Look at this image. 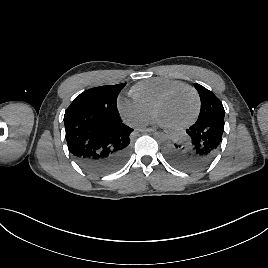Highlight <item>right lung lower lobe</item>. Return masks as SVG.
Returning <instances> with one entry per match:
<instances>
[{
	"label": "right lung lower lobe",
	"instance_id": "obj_1",
	"mask_svg": "<svg viewBox=\"0 0 268 268\" xmlns=\"http://www.w3.org/2000/svg\"><path fill=\"white\" fill-rule=\"evenodd\" d=\"M69 152L87 172L104 176L119 170L130 154L132 128L118 115L81 109L64 116Z\"/></svg>",
	"mask_w": 268,
	"mask_h": 268
}]
</instances>
